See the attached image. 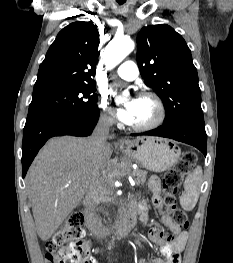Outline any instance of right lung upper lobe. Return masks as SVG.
Masks as SVG:
<instances>
[{
  "label": "right lung upper lobe",
  "mask_w": 233,
  "mask_h": 263,
  "mask_svg": "<svg viewBox=\"0 0 233 263\" xmlns=\"http://www.w3.org/2000/svg\"><path fill=\"white\" fill-rule=\"evenodd\" d=\"M99 32L91 22H74L63 28L50 46L38 71L33 95L95 84Z\"/></svg>",
  "instance_id": "right-lung-upper-lobe-1"
}]
</instances>
